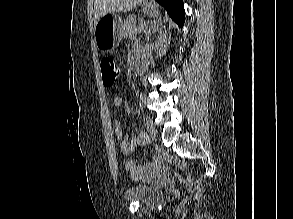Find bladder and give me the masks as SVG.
<instances>
[{
  "instance_id": "bladder-1",
  "label": "bladder",
  "mask_w": 293,
  "mask_h": 219,
  "mask_svg": "<svg viewBox=\"0 0 293 219\" xmlns=\"http://www.w3.org/2000/svg\"><path fill=\"white\" fill-rule=\"evenodd\" d=\"M124 197L128 200L138 201L146 206H154L160 202L162 192L151 185L135 184L124 191Z\"/></svg>"
}]
</instances>
